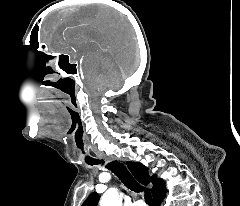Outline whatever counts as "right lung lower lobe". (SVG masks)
<instances>
[{
    "mask_svg": "<svg viewBox=\"0 0 240 206\" xmlns=\"http://www.w3.org/2000/svg\"><path fill=\"white\" fill-rule=\"evenodd\" d=\"M165 197V194L161 195V196H158L157 198H154V205L155 206H160L163 198Z\"/></svg>",
    "mask_w": 240,
    "mask_h": 206,
    "instance_id": "1",
    "label": "right lung lower lobe"
}]
</instances>
